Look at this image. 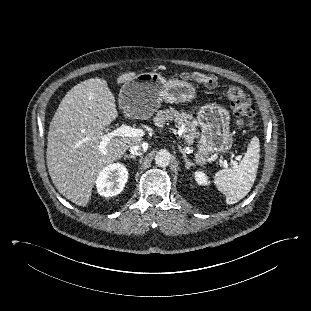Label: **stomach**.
I'll list each match as a JSON object with an SVG mask.
<instances>
[{"label":"stomach","mask_w":311,"mask_h":311,"mask_svg":"<svg viewBox=\"0 0 311 311\" xmlns=\"http://www.w3.org/2000/svg\"><path fill=\"white\" fill-rule=\"evenodd\" d=\"M196 97V87L181 80H166L158 73H141L120 89L118 102L125 114L138 119L150 118L161 102L170 104L189 102ZM201 139L195 149V160L204 165L233 146L230 132V113L218 104H209L199 111Z\"/></svg>","instance_id":"stomach-1"}]
</instances>
